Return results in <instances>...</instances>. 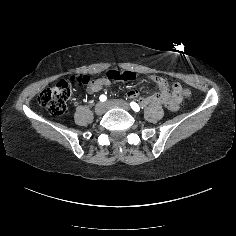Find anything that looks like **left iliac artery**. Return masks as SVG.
<instances>
[{
	"label": "left iliac artery",
	"instance_id": "1",
	"mask_svg": "<svg viewBox=\"0 0 236 236\" xmlns=\"http://www.w3.org/2000/svg\"><path fill=\"white\" fill-rule=\"evenodd\" d=\"M131 108L135 111V112H139L140 111V107L136 102H131L130 103Z\"/></svg>",
	"mask_w": 236,
	"mask_h": 236
}]
</instances>
